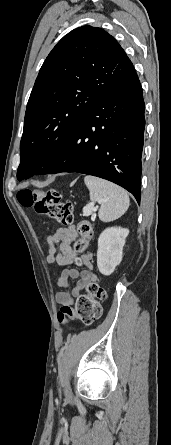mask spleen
<instances>
[{
    "label": "spleen",
    "mask_w": 171,
    "mask_h": 445,
    "mask_svg": "<svg viewBox=\"0 0 171 445\" xmlns=\"http://www.w3.org/2000/svg\"><path fill=\"white\" fill-rule=\"evenodd\" d=\"M84 182L89 189L90 200L100 204V220L113 221L127 211L130 200L124 189L94 176H85Z\"/></svg>",
    "instance_id": "1"
}]
</instances>
